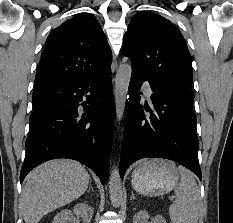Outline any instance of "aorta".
Listing matches in <instances>:
<instances>
[{
	"mask_svg": "<svg viewBox=\"0 0 233 223\" xmlns=\"http://www.w3.org/2000/svg\"><path fill=\"white\" fill-rule=\"evenodd\" d=\"M131 74H132V68L131 66H129V64H122V66L118 68V72L116 74L115 104H116V115L118 117V121L122 119L125 110L126 96L128 94V86H129ZM109 195H110L111 203H113V205H119L122 199L123 191H122L121 177H120L119 169H117V167H113V169H111L110 171Z\"/></svg>",
	"mask_w": 233,
	"mask_h": 223,
	"instance_id": "obj_1",
	"label": "aorta"
}]
</instances>
